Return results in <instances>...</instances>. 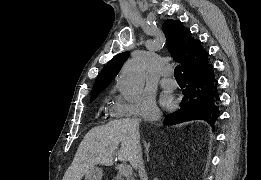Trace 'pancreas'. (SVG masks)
Segmentation results:
<instances>
[{
    "label": "pancreas",
    "mask_w": 261,
    "mask_h": 180,
    "mask_svg": "<svg viewBox=\"0 0 261 180\" xmlns=\"http://www.w3.org/2000/svg\"><path fill=\"white\" fill-rule=\"evenodd\" d=\"M113 175H116V172H113ZM124 178H125V173H119L118 176H116V180H124Z\"/></svg>",
    "instance_id": "pancreas-1"
}]
</instances>
